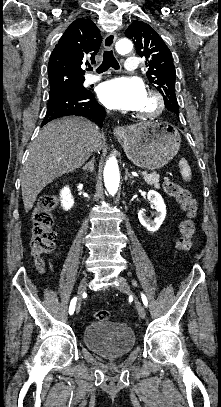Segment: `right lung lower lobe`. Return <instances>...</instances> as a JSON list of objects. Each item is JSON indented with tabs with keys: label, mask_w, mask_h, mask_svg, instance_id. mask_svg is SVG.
<instances>
[{
	"label": "right lung lower lobe",
	"mask_w": 221,
	"mask_h": 407,
	"mask_svg": "<svg viewBox=\"0 0 221 407\" xmlns=\"http://www.w3.org/2000/svg\"><path fill=\"white\" fill-rule=\"evenodd\" d=\"M70 115L92 118L101 127L106 112L103 106L95 100L94 94L90 90L63 89L50 93L42 125L53 119Z\"/></svg>",
	"instance_id": "right-lung-lower-lobe-1"
}]
</instances>
